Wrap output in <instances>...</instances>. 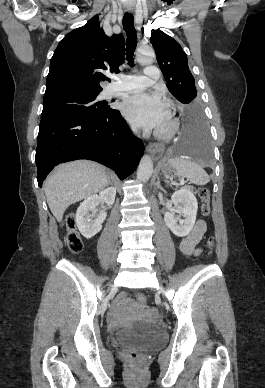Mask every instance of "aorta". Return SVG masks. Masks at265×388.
<instances>
[{
    "mask_svg": "<svg viewBox=\"0 0 265 388\" xmlns=\"http://www.w3.org/2000/svg\"><path fill=\"white\" fill-rule=\"evenodd\" d=\"M154 58L152 49H143L139 53V61L143 64H149ZM153 173V162L149 155L145 154L139 163L137 171V180L146 183Z\"/></svg>",
    "mask_w": 265,
    "mask_h": 388,
    "instance_id": "1",
    "label": "aorta"
}]
</instances>
